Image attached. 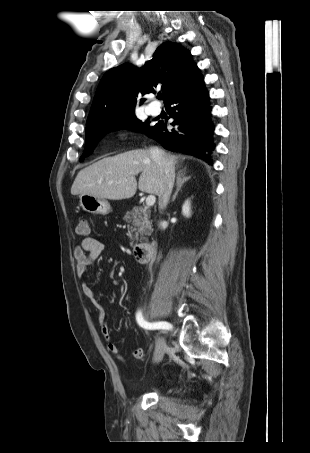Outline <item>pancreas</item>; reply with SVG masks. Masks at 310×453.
I'll list each match as a JSON object with an SVG mask.
<instances>
[{
    "mask_svg": "<svg viewBox=\"0 0 310 453\" xmlns=\"http://www.w3.org/2000/svg\"><path fill=\"white\" fill-rule=\"evenodd\" d=\"M123 220L128 223L129 237L131 240H138L139 234H151L152 223L150 221V211L146 207H134L131 211L126 212ZM131 233H134V235Z\"/></svg>",
    "mask_w": 310,
    "mask_h": 453,
    "instance_id": "1",
    "label": "pancreas"
}]
</instances>
